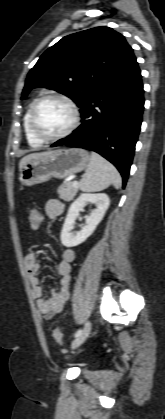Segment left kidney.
Masks as SVG:
<instances>
[{
  "label": "left kidney",
  "instance_id": "5707ae66",
  "mask_svg": "<svg viewBox=\"0 0 165 419\" xmlns=\"http://www.w3.org/2000/svg\"><path fill=\"white\" fill-rule=\"evenodd\" d=\"M94 203L96 208L86 217V224L75 235L71 233L72 226L79 212L88 204ZM110 205V199L104 193H83L70 206L62 231L61 242L66 247H74L83 243L101 222Z\"/></svg>",
  "mask_w": 165,
  "mask_h": 419
}]
</instances>
